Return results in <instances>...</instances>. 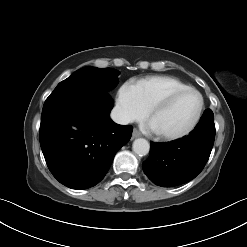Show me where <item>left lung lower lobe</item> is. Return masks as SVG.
I'll list each match as a JSON object with an SVG mask.
<instances>
[{"label":"left lung lower lobe","instance_id":"left-lung-lower-lobe-1","mask_svg":"<svg viewBox=\"0 0 247 247\" xmlns=\"http://www.w3.org/2000/svg\"><path fill=\"white\" fill-rule=\"evenodd\" d=\"M215 139L213 112L207 109L186 137L169 142H150V155L142 167L156 185L173 187L194 179L209 159Z\"/></svg>","mask_w":247,"mask_h":247}]
</instances>
